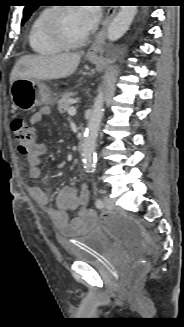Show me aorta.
Here are the masks:
<instances>
[{
  "instance_id": "aorta-1",
  "label": "aorta",
  "mask_w": 184,
  "mask_h": 327,
  "mask_svg": "<svg viewBox=\"0 0 184 327\" xmlns=\"http://www.w3.org/2000/svg\"><path fill=\"white\" fill-rule=\"evenodd\" d=\"M136 13L137 6H121L119 12L108 26L107 38L110 41H116L121 38L129 29ZM103 104L104 93L102 90H99L93 104L83 142V160L84 167L87 170H93L96 163L95 146L103 117Z\"/></svg>"
}]
</instances>
